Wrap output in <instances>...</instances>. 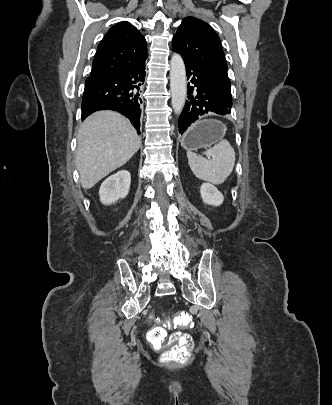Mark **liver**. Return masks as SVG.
I'll use <instances>...</instances> for the list:
<instances>
[{
    "instance_id": "obj_1",
    "label": "liver",
    "mask_w": 332,
    "mask_h": 405,
    "mask_svg": "<svg viewBox=\"0 0 332 405\" xmlns=\"http://www.w3.org/2000/svg\"><path fill=\"white\" fill-rule=\"evenodd\" d=\"M76 167L84 189L123 166L138 151L141 138L127 118L115 111H98L77 135Z\"/></svg>"
}]
</instances>
